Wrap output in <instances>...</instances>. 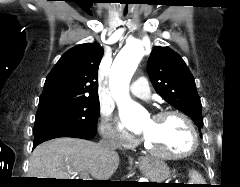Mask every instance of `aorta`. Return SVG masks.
<instances>
[{"label": "aorta", "mask_w": 240, "mask_h": 187, "mask_svg": "<svg viewBox=\"0 0 240 187\" xmlns=\"http://www.w3.org/2000/svg\"><path fill=\"white\" fill-rule=\"evenodd\" d=\"M142 43L130 41L115 58L109 75V86L114 99L121 111L132 114L135 119L143 115V109L129 97L131 78L143 56Z\"/></svg>", "instance_id": "aorta-1"}]
</instances>
